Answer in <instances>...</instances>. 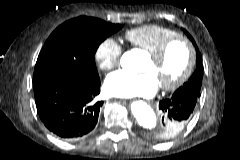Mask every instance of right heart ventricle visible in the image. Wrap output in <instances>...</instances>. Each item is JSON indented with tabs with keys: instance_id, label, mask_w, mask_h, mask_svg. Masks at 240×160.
Instances as JSON below:
<instances>
[{
	"instance_id": "e07e8e85",
	"label": "right heart ventricle",
	"mask_w": 240,
	"mask_h": 160,
	"mask_svg": "<svg viewBox=\"0 0 240 160\" xmlns=\"http://www.w3.org/2000/svg\"><path fill=\"white\" fill-rule=\"evenodd\" d=\"M175 35L178 33L172 28L151 24L128 30L125 33V38L134 48L151 53L163 41Z\"/></svg>"
}]
</instances>
